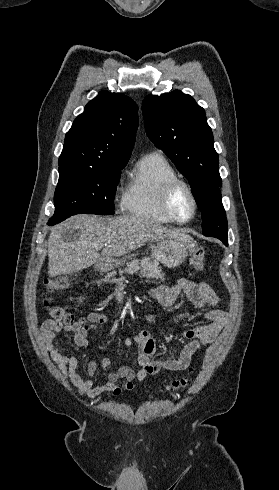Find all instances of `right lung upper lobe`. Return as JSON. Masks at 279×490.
Returning a JSON list of instances; mask_svg holds the SVG:
<instances>
[{"label":"right lung upper lobe","instance_id":"1","mask_svg":"<svg viewBox=\"0 0 279 490\" xmlns=\"http://www.w3.org/2000/svg\"><path fill=\"white\" fill-rule=\"evenodd\" d=\"M137 127V106L131 98L100 92L67 132L59 168L127 164Z\"/></svg>","mask_w":279,"mask_h":490}]
</instances>
